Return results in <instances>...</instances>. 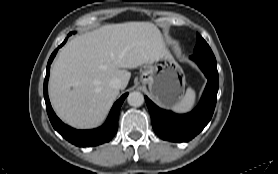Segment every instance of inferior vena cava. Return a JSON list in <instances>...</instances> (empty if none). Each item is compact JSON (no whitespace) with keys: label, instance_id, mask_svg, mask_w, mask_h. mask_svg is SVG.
<instances>
[{"label":"inferior vena cava","instance_id":"602c4592","mask_svg":"<svg viewBox=\"0 0 278 174\" xmlns=\"http://www.w3.org/2000/svg\"><path fill=\"white\" fill-rule=\"evenodd\" d=\"M109 85L114 88V89H122L123 88V84L122 81L119 78H114L109 82Z\"/></svg>","mask_w":278,"mask_h":174}]
</instances>
